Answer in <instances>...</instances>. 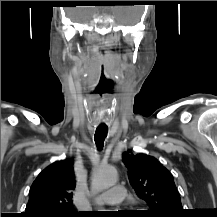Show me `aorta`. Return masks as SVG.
<instances>
[{
  "instance_id": "aorta-1",
  "label": "aorta",
  "mask_w": 217,
  "mask_h": 217,
  "mask_svg": "<svg viewBox=\"0 0 217 217\" xmlns=\"http://www.w3.org/2000/svg\"><path fill=\"white\" fill-rule=\"evenodd\" d=\"M117 182V172L112 166H103L97 168L92 175L91 190L97 194L106 190Z\"/></svg>"
}]
</instances>
